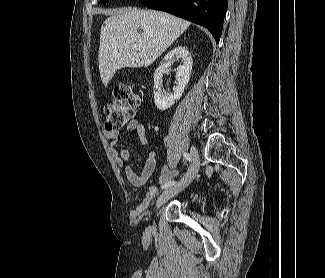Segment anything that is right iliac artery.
Returning <instances> with one entry per match:
<instances>
[{"label": "right iliac artery", "mask_w": 325, "mask_h": 278, "mask_svg": "<svg viewBox=\"0 0 325 278\" xmlns=\"http://www.w3.org/2000/svg\"><path fill=\"white\" fill-rule=\"evenodd\" d=\"M183 156L187 161H192L191 155L189 153H184ZM175 183H176L175 181H170V182L164 184L162 186V189L167 188V187H169L171 185H174Z\"/></svg>", "instance_id": "obj_1"}]
</instances>
